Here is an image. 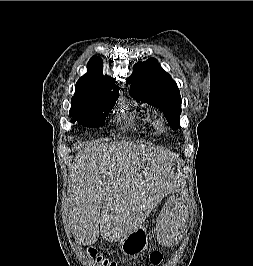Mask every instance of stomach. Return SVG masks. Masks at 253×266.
<instances>
[{"instance_id":"0dacf381","label":"stomach","mask_w":253,"mask_h":266,"mask_svg":"<svg viewBox=\"0 0 253 266\" xmlns=\"http://www.w3.org/2000/svg\"><path fill=\"white\" fill-rule=\"evenodd\" d=\"M158 238V235H157ZM123 254L127 256H138L148 248V234L143 227L130 233L119 242Z\"/></svg>"}]
</instances>
